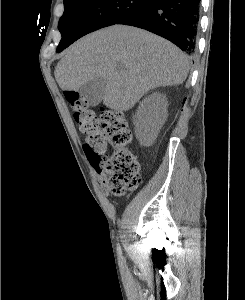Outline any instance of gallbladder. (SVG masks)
Returning <instances> with one entry per match:
<instances>
[{
	"mask_svg": "<svg viewBox=\"0 0 245 300\" xmlns=\"http://www.w3.org/2000/svg\"><path fill=\"white\" fill-rule=\"evenodd\" d=\"M105 88L106 80L103 78H97L82 85L79 89V93L87 102V105L94 107L102 101Z\"/></svg>",
	"mask_w": 245,
	"mask_h": 300,
	"instance_id": "obj_1",
	"label": "gallbladder"
}]
</instances>
